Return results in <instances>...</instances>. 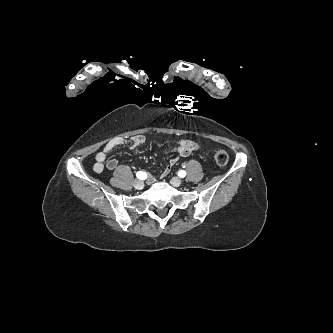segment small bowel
<instances>
[{
	"instance_id": "1",
	"label": "small bowel",
	"mask_w": 333,
	"mask_h": 333,
	"mask_svg": "<svg viewBox=\"0 0 333 333\" xmlns=\"http://www.w3.org/2000/svg\"><path fill=\"white\" fill-rule=\"evenodd\" d=\"M145 142V137L142 135L134 136L130 139L123 137H116L111 139L103 149L96 153L95 155V164L94 170L97 173H100L107 168L108 170H114L118 167V160L115 158L107 159L108 154L114 150L115 148L128 144L131 149H137ZM199 149V145L191 140L187 139H178L176 140V144L174 147V151H176L181 156H188L192 152L197 151ZM178 162V157H173L169 160L168 164L161 171V176H166L172 167H174ZM155 181L154 177H151V182Z\"/></svg>"
}]
</instances>
